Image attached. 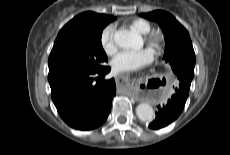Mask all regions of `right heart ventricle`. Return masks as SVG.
<instances>
[{
    "mask_svg": "<svg viewBox=\"0 0 230 155\" xmlns=\"http://www.w3.org/2000/svg\"><path fill=\"white\" fill-rule=\"evenodd\" d=\"M130 27L139 34H146L152 29V25L148 20L142 18H135L130 21Z\"/></svg>",
    "mask_w": 230,
    "mask_h": 155,
    "instance_id": "right-heart-ventricle-1",
    "label": "right heart ventricle"
}]
</instances>
